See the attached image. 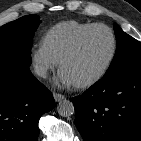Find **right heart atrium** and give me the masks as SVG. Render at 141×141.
Wrapping results in <instances>:
<instances>
[{
	"instance_id": "right-heart-atrium-1",
	"label": "right heart atrium",
	"mask_w": 141,
	"mask_h": 141,
	"mask_svg": "<svg viewBox=\"0 0 141 141\" xmlns=\"http://www.w3.org/2000/svg\"><path fill=\"white\" fill-rule=\"evenodd\" d=\"M29 58L34 74L40 79H46L57 66V60L41 45L32 47Z\"/></svg>"
}]
</instances>
